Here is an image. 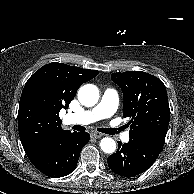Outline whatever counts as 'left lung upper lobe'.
I'll list each match as a JSON object with an SVG mask.
<instances>
[{"mask_svg": "<svg viewBox=\"0 0 194 194\" xmlns=\"http://www.w3.org/2000/svg\"><path fill=\"white\" fill-rule=\"evenodd\" d=\"M123 92V116L130 118V134L164 143L170 120L167 91L163 82L146 72L113 73Z\"/></svg>", "mask_w": 194, "mask_h": 194, "instance_id": "5c2ea615", "label": "left lung upper lobe"}]
</instances>
